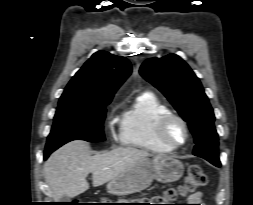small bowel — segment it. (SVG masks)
Listing matches in <instances>:
<instances>
[{
  "label": "small bowel",
  "instance_id": "c3829d8e",
  "mask_svg": "<svg viewBox=\"0 0 253 205\" xmlns=\"http://www.w3.org/2000/svg\"><path fill=\"white\" fill-rule=\"evenodd\" d=\"M188 201L192 203L191 205H205L202 202V194L200 192H196L189 196Z\"/></svg>",
  "mask_w": 253,
  "mask_h": 205
}]
</instances>
